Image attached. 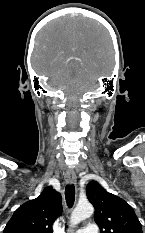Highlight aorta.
Returning <instances> with one entry per match:
<instances>
[{"instance_id":"762f6f07","label":"aorta","mask_w":145,"mask_h":233,"mask_svg":"<svg viewBox=\"0 0 145 233\" xmlns=\"http://www.w3.org/2000/svg\"><path fill=\"white\" fill-rule=\"evenodd\" d=\"M94 213L92 204H78L71 214L70 224L71 227L76 226L81 221L89 218Z\"/></svg>"}]
</instances>
